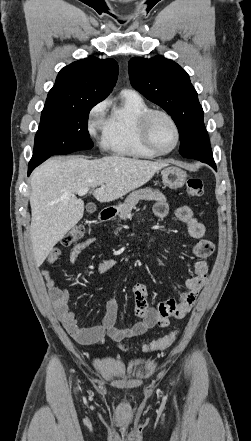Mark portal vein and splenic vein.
<instances>
[{
	"mask_svg": "<svg viewBox=\"0 0 251 441\" xmlns=\"http://www.w3.org/2000/svg\"><path fill=\"white\" fill-rule=\"evenodd\" d=\"M101 188L104 189L105 185H101ZM88 191H89V189L86 188V189L78 191L77 194H78V196H84V195H86L88 193Z\"/></svg>",
	"mask_w": 251,
	"mask_h": 441,
	"instance_id": "18ae733b",
	"label": "portal vein and splenic vein"
}]
</instances>
